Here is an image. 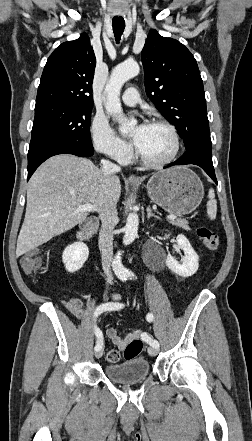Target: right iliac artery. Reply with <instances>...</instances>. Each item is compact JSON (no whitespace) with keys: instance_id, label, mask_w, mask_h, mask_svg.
Segmentation results:
<instances>
[{"instance_id":"82829eb1","label":"right iliac artery","mask_w":252,"mask_h":441,"mask_svg":"<svg viewBox=\"0 0 252 441\" xmlns=\"http://www.w3.org/2000/svg\"><path fill=\"white\" fill-rule=\"evenodd\" d=\"M124 280H127V279L125 278ZM122 306H123V304H116V303H111V302L101 304L96 308V310L94 312V317H97L98 315H100L101 313H103L105 311L119 310L122 308ZM94 331H95V335L97 338L95 351H97L103 347V334H102V331L96 325H94Z\"/></svg>"}]
</instances>
